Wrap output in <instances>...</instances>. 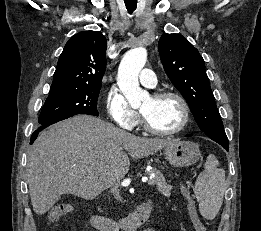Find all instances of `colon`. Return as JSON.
I'll return each instance as SVG.
<instances>
[{"instance_id": "1", "label": "colon", "mask_w": 261, "mask_h": 231, "mask_svg": "<svg viewBox=\"0 0 261 231\" xmlns=\"http://www.w3.org/2000/svg\"><path fill=\"white\" fill-rule=\"evenodd\" d=\"M188 208L190 210V214L192 217V221L195 227V231H206V227L204 226V224L199 220L195 210H194V206L191 200L188 201ZM69 211V209L64 206L62 208H55L53 209L50 213H49V218L51 220H56L58 218H60L61 216H63L64 214H66Z\"/></svg>"}]
</instances>
